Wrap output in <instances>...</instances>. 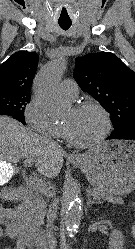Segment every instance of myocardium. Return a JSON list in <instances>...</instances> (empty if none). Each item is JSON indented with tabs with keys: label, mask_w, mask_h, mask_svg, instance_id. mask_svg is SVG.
Masks as SVG:
<instances>
[{
	"label": "myocardium",
	"mask_w": 135,
	"mask_h": 249,
	"mask_svg": "<svg viewBox=\"0 0 135 249\" xmlns=\"http://www.w3.org/2000/svg\"><path fill=\"white\" fill-rule=\"evenodd\" d=\"M88 108L96 109L102 114V116L104 118L105 128H104V131L102 132V134L99 135L98 137L94 138L93 140L78 141L71 136L68 128L66 126H64V133H65L66 139L68 140L69 143H71L72 145H74L76 147L88 148V147H92L94 145H97L98 143L102 142L105 138H107V136L109 135V133L111 131L112 124H111L110 114L99 103H96L93 101H84V102H81V103H78L77 105H75L73 109L75 111H82V110L88 109Z\"/></svg>",
	"instance_id": "1"
}]
</instances>
